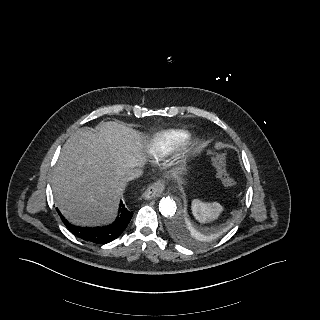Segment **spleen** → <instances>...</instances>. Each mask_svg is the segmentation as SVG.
<instances>
[{
    "label": "spleen",
    "mask_w": 320,
    "mask_h": 320,
    "mask_svg": "<svg viewBox=\"0 0 320 320\" xmlns=\"http://www.w3.org/2000/svg\"><path fill=\"white\" fill-rule=\"evenodd\" d=\"M223 209V206L217 202H202L198 199L192 202V213L201 223H207L217 219Z\"/></svg>",
    "instance_id": "obj_1"
}]
</instances>
